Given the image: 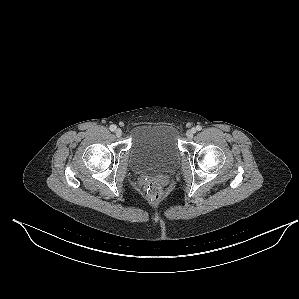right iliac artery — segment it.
I'll use <instances>...</instances> for the list:
<instances>
[{"label": "right iliac artery", "mask_w": 299, "mask_h": 299, "mask_svg": "<svg viewBox=\"0 0 299 299\" xmlns=\"http://www.w3.org/2000/svg\"><path fill=\"white\" fill-rule=\"evenodd\" d=\"M109 129H110L111 131H115V130H116V125H111V126L109 127Z\"/></svg>", "instance_id": "right-iliac-artery-1"}]
</instances>
